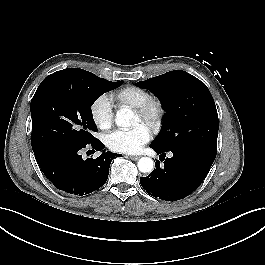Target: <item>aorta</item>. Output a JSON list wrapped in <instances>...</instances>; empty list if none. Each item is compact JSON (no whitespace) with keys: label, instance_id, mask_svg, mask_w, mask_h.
<instances>
[{"label":"aorta","instance_id":"1","mask_svg":"<svg viewBox=\"0 0 265 265\" xmlns=\"http://www.w3.org/2000/svg\"><path fill=\"white\" fill-rule=\"evenodd\" d=\"M133 117L134 114L131 110L127 108L120 109L116 113L115 123L118 127L125 129L133 124L132 122ZM153 168H154V162L149 157H142L138 161V169L142 173H149L153 170Z\"/></svg>","mask_w":265,"mask_h":265}]
</instances>
